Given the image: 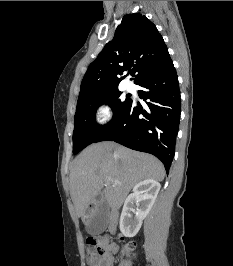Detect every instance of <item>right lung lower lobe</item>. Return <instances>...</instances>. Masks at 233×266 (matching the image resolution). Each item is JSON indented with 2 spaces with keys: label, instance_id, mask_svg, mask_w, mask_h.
<instances>
[{
  "label": "right lung lower lobe",
  "instance_id": "1",
  "mask_svg": "<svg viewBox=\"0 0 233 266\" xmlns=\"http://www.w3.org/2000/svg\"><path fill=\"white\" fill-rule=\"evenodd\" d=\"M146 107L132 100L115 122L95 142L115 141L128 148L158 157L166 172L170 168L180 121L178 78L169 57L138 83Z\"/></svg>",
  "mask_w": 233,
  "mask_h": 266
}]
</instances>
